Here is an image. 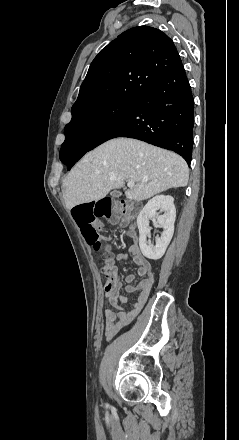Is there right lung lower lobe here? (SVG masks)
<instances>
[{
  "mask_svg": "<svg viewBox=\"0 0 239 440\" xmlns=\"http://www.w3.org/2000/svg\"><path fill=\"white\" fill-rule=\"evenodd\" d=\"M194 101L180 60L162 79L138 97L126 114L86 149L60 151L67 170L87 152L116 137L139 139L181 155L190 166L193 149Z\"/></svg>",
  "mask_w": 239,
  "mask_h": 440,
  "instance_id": "right-lung-lower-lobe-1",
  "label": "right lung lower lobe"
}]
</instances>
